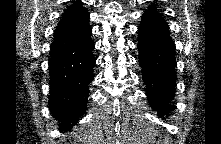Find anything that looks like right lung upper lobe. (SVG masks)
I'll return each instance as SVG.
<instances>
[{"mask_svg":"<svg viewBox=\"0 0 221 144\" xmlns=\"http://www.w3.org/2000/svg\"><path fill=\"white\" fill-rule=\"evenodd\" d=\"M89 13L79 1L67 7L62 15V19L54 32V40L63 37L88 24Z\"/></svg>","mask_w":221,"mask_h":144,"instance_id":"1","label":"right lung upper lobe"}]
</instances>
